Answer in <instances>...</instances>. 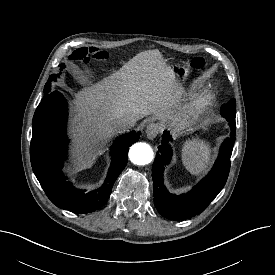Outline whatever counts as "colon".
Instances as JSON below:
<instances>
[{
    "mask_svg": "<svg viewBox=\"0 0 275 275\" xmlns=\"http://www.w3.org/2000/svg\"><path fill=\"white\" fill-rule=\"evenodd\" d=\"M109 58L107 52L99 50L97 48H81L73 52L71 55L72 61H79L88 63L90 61H105ZM205 65V61L202 58H195L192 61V67L194 69H201Z\"/></svg>",
    "mask_w": 275,
    "mask_h": 275,
    "instance_id": "obj_1",
    "label": "colon"
}]
</instances>
